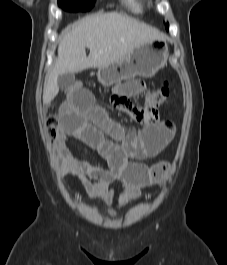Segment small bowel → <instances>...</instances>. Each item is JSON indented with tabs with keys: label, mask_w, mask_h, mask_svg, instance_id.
Here are the masks:
<instances>
[{
	"label": "small bowel",
	"mask_w": 227,
	"mask_h": 265,
	"mask_svg": "<svg viewBox=\"0 0 227 265\" xmlns=\"http://www.w3.org/2000/svg\"><path fill=\"white\" fill-rule=\"evenodd\" d=\"M111 107L117 112H141L128 95L143 91L145 82L118 81ZM67 99H61L59 135L54 141L61 161V169L66 175L79 180L86 193L104 205L115 200L119 208L136 200L141 190L158 182L151 173V166L141 161L154 158L171 142L175 127L162 121L145 127L140 132H128L111 119L105 109L93 99L86 87H67ZM124 97L126 99H117ZM135 118V117H134ZM68 137H73L95 150L108 164V169L94 165L77 157L68 148ZM117 182L118 188L112 186Z\"/></svg>",
	"instance_id": "obj_1"
}]
</instances>
